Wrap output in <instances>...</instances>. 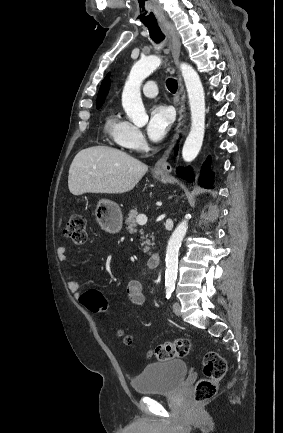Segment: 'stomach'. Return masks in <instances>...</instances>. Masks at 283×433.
Instances as JSON below:
<instances>
[{"label":"stomach","instance_id":"1","mask_svg":"<svg viewBox=\"0 0 283 433\" xmlns=\"http://www.w3.org/2000/svg\"><path fill=\"white\" fill-rule=\"evenodd\" d=\"M154 176L155 178H161L163 182L166 180L165 172H161V170H156ZM95 214L98 223H103L110 233H119L121 231L123 219L121 208L117 202L102 198L96 206Z\"/></svg>","mask_w":283,"mask_h":433}]
</instances>
